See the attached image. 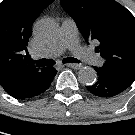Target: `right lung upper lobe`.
Masks as SVG:
<instances>
[{
  "instance_id": "obj_1",
  "label": "right lung upper lobe",
  "mask_w": 135,
  "mask_h": 135,
  "mask_svg": "<svg viewBox=\"0 0 135 135\" xmlns=\"http://www.w3.org/2000/svg\"><path fill=\"white\" fill-rule=\"evenodd\" d=\"M54 0H3L0 3V85L7 87L19 75L39 72L25 52L32 24Z\"/></svg>"
}]
</instances>
